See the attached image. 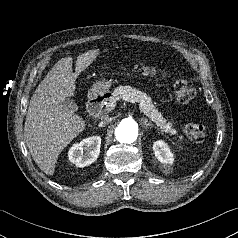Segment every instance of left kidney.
Returning <instances> with one entry per match:
<instances>
[{
    "instance_id": "obj_1",
    "label": "left kidney",
    "mask_w": 238,
    "mask_h": 238,
    "mask_svg": "<svg viewBox=\"0 0 238 238\" xmlns=\"http://www.w3.org/2000/svg\"><path fill=\"white\" fill-rule=\"evenodd\" d=\"M153 151L156 158L163 164L172 165L174 162V154L171 152L167 143L158 140L153 144Z\"/></svg>"
}]
</instances>
